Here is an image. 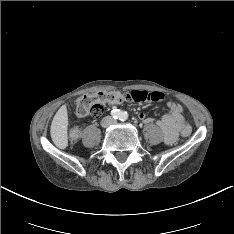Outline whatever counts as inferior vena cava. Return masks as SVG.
Masks as SVG:
<instances>
[{"label": "inferior vena cava", "instance_id": "1", "mask_svg": "<svg viewBox=\"0 0 234 234\" xmlns=\"http://www.w3.org/2000/svg\"><path fill=\"white\" fill-rule=\"evenodd\" d=\"M116 121L110 116H106L102 119L101 125L102 127H109L110 125L114 124Z\"/></svg>", "mask_w": 234, "mask_h": 234}]
</instances>
